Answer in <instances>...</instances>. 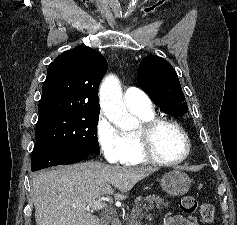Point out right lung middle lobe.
<instances>
[{"mask_svg":"<svg viewBox=\"0 0 237 225\" xmlns=\"http://www.w3.org/2000/svg\"><path fill=\"white\" fill-rule=\"evenodd\" d=\"M99 113L66 114L38 120L36 143L64 145L90 154H99L97 124Z\"/></svg>","mask_w":237,"mask_h":225,"instance_id":"dd1d6c3e","label":"right lung middle lobe"}]
</instances>
